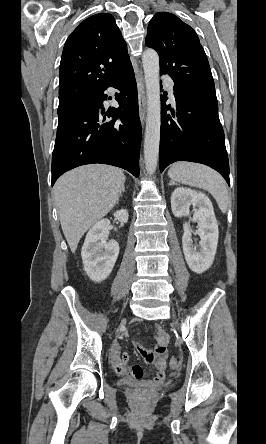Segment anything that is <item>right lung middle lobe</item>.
Returning <instances> with one entry per match:
<instances>
[{
    "instance_id": "1",
    "label": "right lung middle lobe",
    "mask_w": 266,
    "mask_h": 444,
    "mask_svg": "<svg viewBox=\"0 0 266 444\" xmlns=\"http://www.w3.org/2000/svg\"><path fill=\"white\" fill-rule=\"evenodd\" d=\"M94 94H80L59 98L58 118L59 120L65 118L78 108L84 106L89 102Z\"/></svg>"
}]
</instances>
